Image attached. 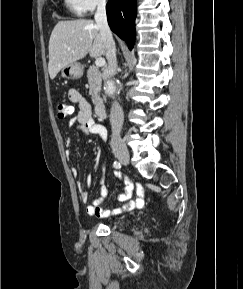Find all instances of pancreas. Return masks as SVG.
<instances>
[{
  "instance_id": "1",
  "label": "pancreas",
  "mask_w": 243,
  "mask_h": 289,
  "mask_svg": "<svg viewBox=\"0 0 243 289\" xmlns=\"http://www.w3.org/2000/svg\"><path fill=\"white\" fill-rule=\"evenodd\" d=\"M87 78L90 85L89 95L91 96L93 103H97L100 100L102 84V75L100 70L95 66H90L87 70Z\"/></svg>"
}]
</instances>
